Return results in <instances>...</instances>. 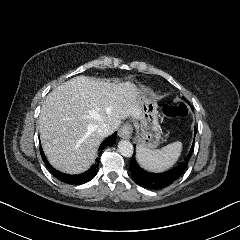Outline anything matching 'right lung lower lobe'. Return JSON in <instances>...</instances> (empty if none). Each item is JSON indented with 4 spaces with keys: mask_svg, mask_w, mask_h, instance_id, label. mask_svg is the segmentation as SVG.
<instances>
[{
    "mask_svg": "<svg viewBox=\"0 0 240 240\" xmlns=\"http://www.w3.org/2000/svg\"><path fill=\"white\" fill-rule=\"evenodd\" d=\"M116 136H117V133H114L113 135L109 136L102 142V144L99 147V155L102 153V151L107 146L113 145L115 143ZM40 153H41L42 159L45 162V164L47 165L49 171L53 174L54 177H56L61 182H64L67 184H74V185L84 184V183L90 181L91 179H93L95 177V175L97 174L99 158L96 159V163L93 164L88 171L81 173L79 175H70V174H65L60 171H57L55 168H53L49 164L48 160L46 159L44 152L42 150V147H40Z\"/></svg>",
    "mask_w": 240,
    "mask_h": 240,
    "instance_id": "right-lung-lower-lobe-1",
    "label": "right lung lower lobe"
}]
</instances>
